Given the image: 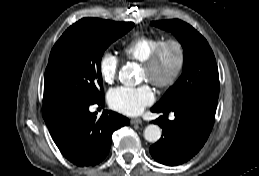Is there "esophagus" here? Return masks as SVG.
<instances>
[{"label": "esophagus", "mask_w": 259, "mask_h": 176, "mask_svg": "<svg viewBox=\"0 0 259 176\" xmlns=\"http://www.w3.org/2000/svg\"><path fill=\"white\" fill-rule=\"evenodd\" d=\"M131 124H142L143 121L140 118H133L130 120Z\"/></svg>", "instance_id": "34e87169"}]
</instances>
